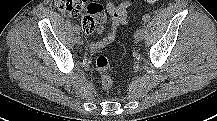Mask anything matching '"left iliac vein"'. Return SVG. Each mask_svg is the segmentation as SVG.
I'll return each mask as SVG.
<instances>
[{
  "mask_svg": "<svg viewBox=\"0 0 217 121\" xmlns=\"http://www.w3.org/2000/svg\"><path fill=\"white\" fill-rule=\"evenodd\" d=\"M144 37V30L143 29H138L136 30L135 34H134V39L136 42H140Z\"/></svg>",
  "mask_w": 217,
  "mask_h": 121,
  "instance_id": "left-iliac-vein-1",
  "label": "left iliac vein"
}]
</instances>
